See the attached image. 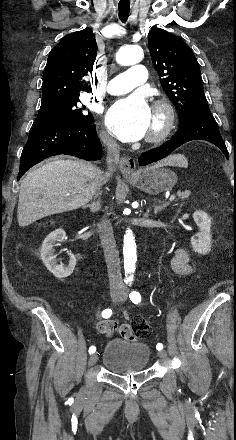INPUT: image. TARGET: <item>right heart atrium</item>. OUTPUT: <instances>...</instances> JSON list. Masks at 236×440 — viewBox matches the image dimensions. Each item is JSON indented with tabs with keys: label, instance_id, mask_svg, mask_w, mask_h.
I'll return each mask as SVG.
<instances>
[{
	"label": "right heart atrium",
	"instance_id": "d8ad5b80",
	"mask_svg": "<svg viewBox=\"0 0 236 440\" xmlns=\"http://www.w3.org/2000/svg\"><path fill=\"white\" fill-rule=\"evenodd\" d=\"M99 136H100L101 141L105 145H107L109 147L114 146V140L112 139V137L109 135V133L106 130H104V129L101 130Z\"/></svg>",
	"mask_w": 236,
	"mask_h": 440
}]
</instances>
